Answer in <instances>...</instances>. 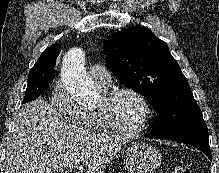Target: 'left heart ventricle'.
<instances>
[{"label": "left heart ventricle", "instance_id": "obj_1", "mask_svg": "<svg viewBox=\"0 0 219 173\" xmlns=\"http://www.w3.org/2000/svg\"><path fill=\"white\" fill-rule=\"evenodd\" d=\"M102 103V98L98 105ZM109 114L115 125L124 130H133L139 126L143 117V106L133 95L123 93L109 105Z\"/></svg>", "mask_w": 219, "mask_h": 173}]
</instances>
